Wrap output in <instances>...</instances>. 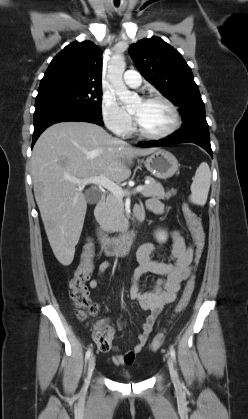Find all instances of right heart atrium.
<instances>
[{"instance_id": "right-heart-atrium-1", "label": "right heart atrium", "mask_w": 248, "mask_h": 419, "mask_svg": "<svg viewBox=\"0 0 248 419\" xmlns=\"http://www.w3.org/2000/svg\"><path fill=\"white\" fill-rule=\"evenodd\" d=\"M101 116L106 127L118 136H126L132 128V118L109 94L101 99Z\"/></svg>"}]
</instances>
